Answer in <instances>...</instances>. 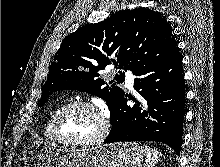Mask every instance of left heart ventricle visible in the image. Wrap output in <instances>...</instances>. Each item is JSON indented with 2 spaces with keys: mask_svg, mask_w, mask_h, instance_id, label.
<instances>
[{
  "mask_svg": "<svg viewBox=\"0 0 220 167\" xmlns=\"http://www.w3.org/2000/svg\"><path fill=\"white\" fill-rule=\"evenodd\" d=\"M100 128V119L91 109L73 106L66 110L58 121L60 135L69 140H84L94 137Z\"/></svg>",
  "mask_w": 220,
  "mask_h": 167,
  "instance_id": "obj_1",
  "label": "left heart ventricle"
}]
</instances>
